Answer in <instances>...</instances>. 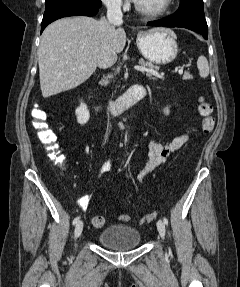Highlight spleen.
<instances>
[{
	"instance_id": "3e777b00",
	"label": "spleen",
	"mask_w": 240,
	"mask_h": 287,
	"mask_svg": "<svg viewBox=\"0 0 240 287\" xmlns=\"http://www.w3.org/2000/svg\"><path fill=\"white\" fill-rule=\"evenodd\" d=\"M197 68L199 70V75L202 78H206L209 75V65L206 57L199 56L197 60Z\"/></svg>"
}]
</instances>
